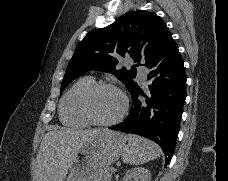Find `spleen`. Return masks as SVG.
<instances>
[{
	"instance_id": "obj_1",
	"label": "spleen",
	"mask_w": 228,
	"mask_h": 181,
	"mask_svg": "<svg viewBox=\"0 0 228 181\" xmlns=\"http://www.w3.org/2000/svg\"><path fill=\"white\" fill-rule=\"evenodd\" d=\"M121 155L122 161L127 165H144V163L158 159L161 155V149L156 143H152L148 139L129 135L127 145L123 147Z\"/></svg>"
}]
</instances>
